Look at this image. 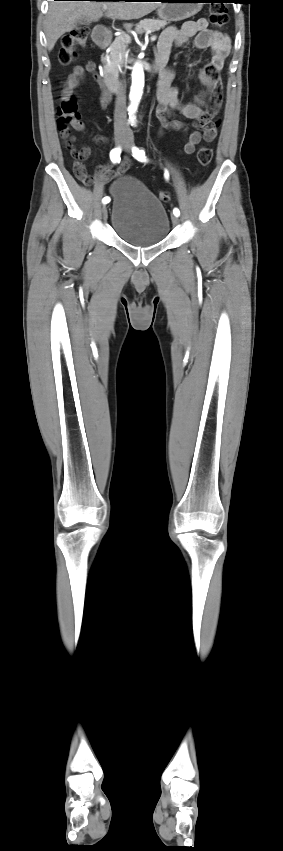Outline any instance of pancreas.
Wrapping results in <instances>:
<instances>
[{
  "label": "pancreas",
  "mask_w": 283,
  "mask_h": 851,
  "mask_svg": "<svg viewBox=\"0 0 283 851\" xmlns=\"http://www.w3.org/2000/svg\"><path fill=\"white\" fill-rule=\"evenodd\" d=\"M166 25V21L147 19L140 22L136 26V31L139 33L147 31L154 32L159 31ZM128 43L129 41L125 38V34L115 38L114 42L110 45V52L101 58V62L103 63L104 67V73H118L120 67H122L125 62L124 54L126 52Z\"/></svg>",
  "instance_id": "1"
}]
</instances>
